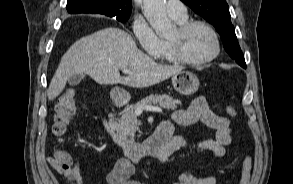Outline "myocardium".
I'll return each mask as SVG.
<instances>
[{
  "mask_svg": "<svg viewBox=\"0 0 293 184\" xmlns=\"http://www.w3.org/2000/svg\"><path fill=\"white\" fill-rule=\"evenodd\" d=\"M202 26L205 27L213 36L214 42H215V49L214 52L209 55L208 57L202 58V59H191L187 57L182 49V40L185 37V35L194 27ZM176 37L175 38H169V46L170 51L173 59L179 63L187 64V65H203L206 63H209L216 59L220 52H221V41L219 34L217 33L216 29L208 22L203 20H189L184 23H181L176 28Z\"/></svg>",
  "mask_w": 293,
  "mask_h": 184,
  "instance_id": "obj_1",
  "label": "myocardium"
}]
</instances>
